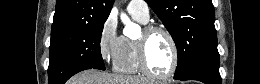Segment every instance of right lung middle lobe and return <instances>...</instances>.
I'll return each instance as SVG.
<instances>
[{
  "instance_id": "dd1d6c3e",
  "label": "right lung middle lobe",
  "mask_w": 260,
  "mask_h": 84,
  "mask_svg": "<svg viewBox=\"0 0 260 84\" xmlns=\"http://www.w3.org/2000/svg\"><path fill=\"white\" fill-rule=\"evenodd\" d=\"M105 21L87 22L51 34L49 84H64L72 75L85 69L105 70L100 51Z\"/></svg>"
}]
</instances>
